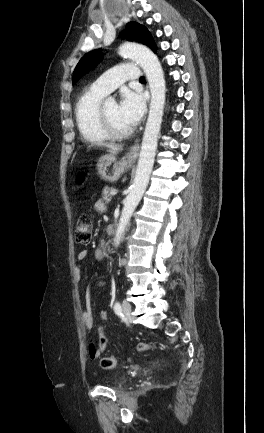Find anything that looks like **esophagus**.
I'll list each match as a JSON object with an SVG mask.
<instances>
[{
	"label": "esophagus",
	"mask_w": 264,
	"mask_h": 433,
	"mask_svg": "<svg viewBox=\"0 0 264 433\" xmlns=\"http://www.w3.org/2000/svg\"><path fill=\"white\" fill-rule=\"evenodd\" d=\"M139 149H140L139 143H135L134 145H132V147L130 148L127 154V158L129 160H135L138 157Z\"/></svg>",
	"instance_id": "1"
}]
</instances>
